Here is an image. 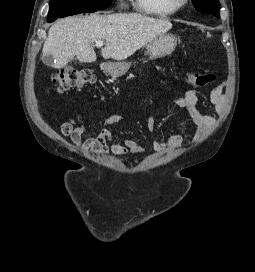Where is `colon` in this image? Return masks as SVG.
<instances>
[{
    "label": "colon",
    "instance_id": "5ec220e1",
    "mask_svg": "<svg viewBox=\"0 0 255 272\" xmlns=\"http://www.w3.org/2000/svg\"><path fill=\"white\" fill-rule=\"evenodd\" d=\"M212 73H192L188 75L187 82L194 86H206L214 81ZM94 81V75L87 69L66 68L53 76L55 90L65 92L70 89H80Z\"/></svg>",
    "mask_w": 255,
    "mask_h": 272
}]
</instances>
